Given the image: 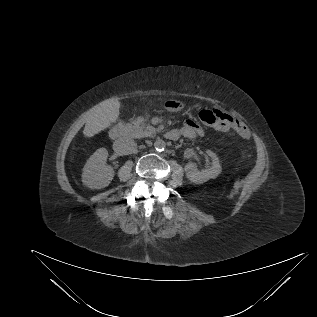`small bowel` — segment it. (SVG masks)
<instances>
[{
  "mask_svg": "<svg viewBox=\"0 0 317 317\" xmlns=\"http://www.w3.org/2000/svg\"><path fill=\"white\" fill-rule=\"evenodd\" d=\"M167 107L175 111L181 109V106L175 101L167 102ZM217 111L221 113L220 124L216 127L218 130L227 131L229 129H233L244 138L249 136V131L246 125L240 119L233 118L225 112L219 110ZM203 133V129L196 122L187 120L184 126L179 131H177V138L182 135L189 139H196L197 137L202 136Z\"/></svg>",
  "mask_w": 317,
  "mask_h": 317,
  "instance_id": "small-bowel-1",
  "label": "small bowel"
}]
</instances>
